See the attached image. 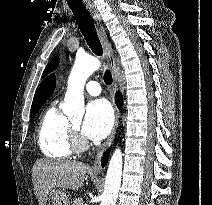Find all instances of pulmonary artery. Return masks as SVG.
Wrapping results in <instances>:
<instances>
[{"mask_svg": "<svg viewBox=\"0 0 212 205\" xmlns=\"http://www.w3.org/2000/svg\"><path fill=\"white\" fill-rule=\"evenodd\" d=\"M85 90L92 96H97L101 93V87L96 81H89L85 86Z\"/></svg>", "mask_w": 212, "mask_h": 205, "instance_id": "e3ab8cb5", "label": "pulmonary artery"}]
</instances>
